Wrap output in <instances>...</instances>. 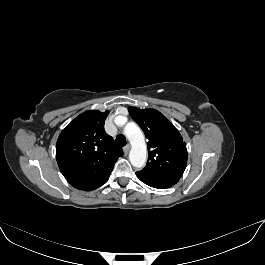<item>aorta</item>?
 Returning <instances> with one entry per match:
<instances>
[{"mask_svg": "<svg viewBox=\"0 0 265 265\" xmlns=\"http://www.w3.org/2000/svg\"><path fill=\"white\" fill-rule=\"evenodd\" d=\"M124 133L132 146L129 153L131 164L136 168H142L147 159V147L141 129L135 123H128Z\"/></svg>", "mask_w": 265, "mask_h": 265, "instance_id": "obj_1", "label": "aorta"}]
</instances>
